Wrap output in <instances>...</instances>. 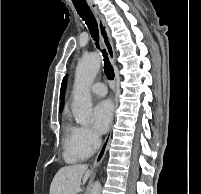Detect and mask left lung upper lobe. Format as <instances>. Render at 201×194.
<instances>
[{
  "mask_svg": "<svg viewBox=\"0 0 201 194\" xmlns=\"http://www.w3.org/2000/svg\"><path fill=\"white\" fill-rule=\"evenodd\" d=\"M65 83H66V77L63 79V82H62V86H61V92L64 90L65 88Z\"/></svg>",
  "mask_w": 201,
  "mask_h": 194,
  "instance_id": "5c2ea615",
  "label": "left lung upper lobe"
}]
</instances>
